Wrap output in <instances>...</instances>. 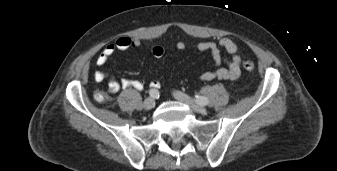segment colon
I'll list each match as a JSON object with an SVG mask.
<instances>
[{
  "label": "colon",
  "mask_w": 337,
  "mask_h": 171,
  "mask_svg": "<svg viewBox=\"0 0 337 171\" xmlns=\"http://www.w3.org/2000/svg\"><path fill=\"white\" fill-rule=\"evenodd\" d=\"M242 66L245 70L251 71L254 69V62L251 58L249 57H244L242 59ZM98 100L103 101L105 99V95L103 93H99L97 95Z\"/></svg>",
  "instance_id": "colon-1"
}]
</instances>
